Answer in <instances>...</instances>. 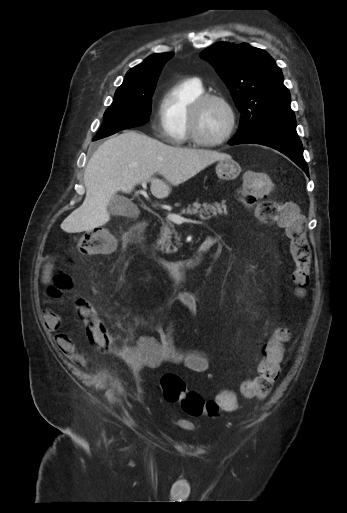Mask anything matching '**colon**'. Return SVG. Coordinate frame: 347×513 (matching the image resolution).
Instances as JSON below:
<instances>
[{"label":"colon","mask_w":347,"mask_h":513,"mask_svg":"<svg viewBox=\"0 0 347 513\" xmlns=\"http://www.w3.org/2000/svg\"><path fill=\"white\" fill-rule=\"evenodd\" d=\"M271 183L266 174L248 172L240 187L241 199L248 207L255 209V216L263 222H271L282 228L289 240V249L294 262L292 280L299 293L309 285L311 268V250L306 234V224L296 207L290 203L272 204L264 200V191ZM115 238L108 230L96 228L85 232L80 241V249L86 254H103L113 249ZM72 280L65 270L55 271L47 287L50 296L58 298L69 291ZM75 313L81 317V324L88 328V337L98 348L115 350L103 322L96 314L93 300H78ZM289 338L285 327L274 330L271 340L262 343L261 362L256 366V377L246 380L242 392L249 398H264L270 392L280 372V361L287 356L284 342ZM161 389L164 399L169 403H179L181 409L192 417L208 415L218 416L221 412L237 408L235 395L228 390L220 391L214 399L205 400L201 395L187 389L184 379L175 373H165L161 377Z\"/></svg>","instance_id":"colon-1"}]
</instances>
